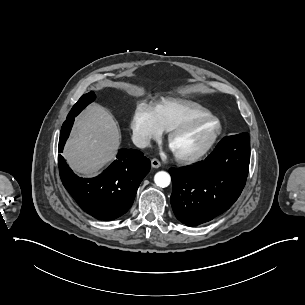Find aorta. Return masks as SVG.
<instances>
[{"label": "aorta", "mask_w": 305, "mask_h": 305, "mask_svg": "<svg viewBox=\"0 0 305 305\" xmlns=\"http://www.w3.org/2000/svg\"><path fill=\"white\" fill-rule=\"evenodd\" d=\"M154 182L157 186L161 188H165L168 187L169 184L171 183V177L169 173L165 171H159L154 176Z\"/></svg>", "instance_id": "aorta-1"}]
</instances>
